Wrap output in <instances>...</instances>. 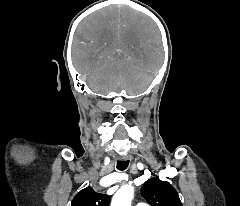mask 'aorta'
<instances>
[{"label": "aorta", "instance_id": "aorta-1", "mask_svg": "<svg viewBox=\"0 0 240 206\" xmlns=\"http://www.w3.org/2000/svg\"><path fill=\"white\" fill-rule=\"evenodd\" d=\"M133 196L134 187L131 185H124L113 196L111 206H131Z\"/></svg>", "mask_w": 240, "mask_h": 206}]
</instances>
